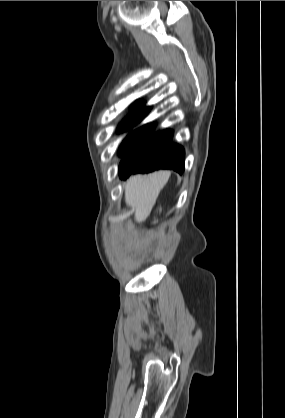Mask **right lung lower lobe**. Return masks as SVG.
<instances>
[{
    "mask_svg": "<svg viewBox=\"0 0 285 418\" xmlns=\"http://www.w3.org/2000/svg\"><path fill=\"white\" fill-rule=\"evenodd\" d=\"M184 155L183 147L173 143L172 131L156 132L123 155L125 157L119 165L120 177L126 179L131 174L158 169H172L182 174Z\"/></svg>",
    "mask_w": 285,
    "mask_h": 418,
    "instance_id": "98d812e1",
    "label": "right lung lower lobe"
}]
</instances>
